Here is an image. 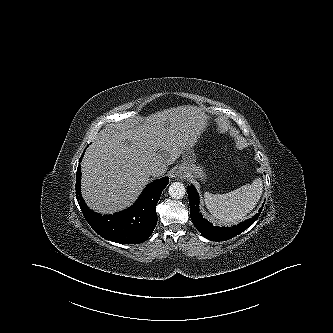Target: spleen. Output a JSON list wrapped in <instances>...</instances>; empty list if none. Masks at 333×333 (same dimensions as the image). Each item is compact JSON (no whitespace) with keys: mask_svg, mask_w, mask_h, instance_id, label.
Instances as JSON below:
<instances>
[{"mask_svg":"<svg viewBox=\"0 0 333 333\" xmlns=\"http://www.w3.org/2000/svg\"><path fill=\"white\" fill-rule=\"evenodd\" d=\"M263 192L262 180L257 178L251 184L225 194L204 193V201L209 212L223 223H238L245 219Z\"/></svg>","mask_w":333,"mask_h":333,"instance_id":"obj_1","label":"spleen"}]
</instances>
